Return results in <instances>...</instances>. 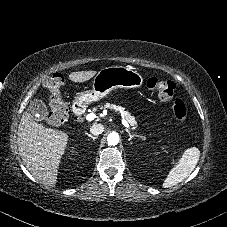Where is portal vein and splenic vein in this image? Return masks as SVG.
I'll use <instances>...</instances> for the list:
<instances>
[{
    "label": "portal vein and splenic vein",
    "instance_id": "obj_1",
    "mask_svg": "<svg viewBox=\"0 0 227 227\" xmlns=\"http://www.w3.org/2000/svg\"><path fill=\"white\" fill-rule=\"evenodd\" d=\"M96 118V115L94 113H90L86 116L87 121H92ZM122 123L125 127L130 128V125L127 123V121L122 120Z\"/></svg>",
    "mask_w": 227,
    "mask_h": 227
}]
</instances>
